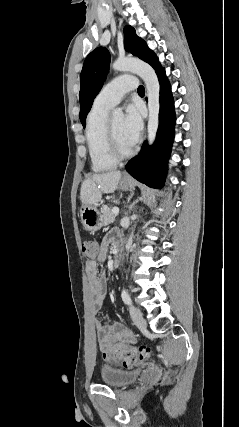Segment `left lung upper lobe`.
I'll return each mask as SVG.
<instances>
[{"mask_svg":"<svg viewBox=\"0 0 239 427\" xmlns=\"http://www.w3.org/2000/svg\"><path fill=\"white\" fill-rule=\"evenodd\" d=\"M125 49L149 63L154 69L160 65L155 53L136 35L132 26L124 28ZM110 53L106 48L98 47L85 59L80 78V120L85 128V120L94 98L99 93L108 74Z\"/></svg>","mask_w":239,"mask_h":427,"instance_id":"obj_1","label":"left lung upper lobe"}]
</instances>
